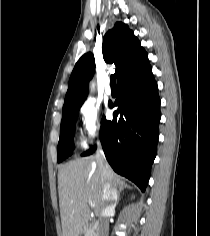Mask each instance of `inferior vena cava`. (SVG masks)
Here are the masks:
<instances>
[{"label":"inferior vena cava","mask_w":210,"mask_h":236,"mask_svg":"<svg viewBox=\"0 0 210 236\" xmlns=\"http://www.w3.org/2000/svg\"><path fill=\"white\" fill-rule=\"evenodd\" d=\"M96 162L103 172L104 186L102 196V208L100 211L99 236H108L109 222L108 217L115 212L117 201V189L111 185V174L101 145L96 151Z\"/></svg>","instance_id":"1"}]
</instances>
